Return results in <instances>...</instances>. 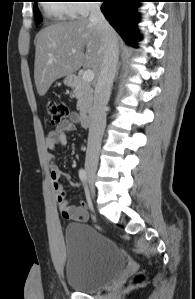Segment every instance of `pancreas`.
Masks as SVG:
<instances>
[{"label": "pancreas", "mask_w": 195, "mask_h": 299, "mask_svg": "<svg viewBox=\"0 0 195 299\" xmlns=\"http://www.w3.org/2000/svg\"><path fill=\"white\" fill-rule=\"evenodd\" d=\"M73 94L77 99V108L80 114H87L91 110L93 103V88L91 83L79 77Z\"/></svg>", "instance_id": "obj_1"}]
</instances>
